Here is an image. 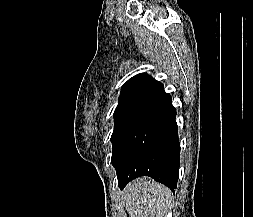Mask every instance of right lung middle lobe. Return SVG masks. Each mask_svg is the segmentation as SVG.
<instances>
[{
    "label": "right lung middle lobe",
    "instance_id": "dd1d6c3e",
    "mask_svg": "<svg viewBox=\"0 0 253 217\" xmlns=\"http://www.w3.org/2000/svg\"><path fill=\"white\" fill-rule=\"evenodd\" d=\"M150 104L151 103L144 101H133L118 104L114 112L115 127L111 136L113 153L127 130L145 112Z\"/></svg>",
    "mask_w": 253,
    "mask_h": 217
}]
</instances>
